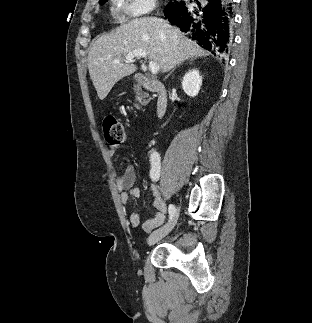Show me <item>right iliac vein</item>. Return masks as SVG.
I'll return each instance as SVG.
<instances>
[{
    "label": "right iliac vein",
    "instance_id": "right-iliac-vein-1",
    "mask_svg": "<svg viewBox=\"0 0 312 323\" xmlns=\"http://www.w3.org/2000/svg\"><path fill=\"white\" fill-rule=\"evenodd\" d=\"M176 217L168 224L160 227L159 229L152 232L147 240L148 245H153L159 240L163 239L167 234L171 232L176 223Z\"/></svg>",
    "mask_w": 312,
    "mask_h": 323
}]
</instances>
